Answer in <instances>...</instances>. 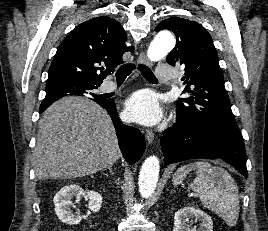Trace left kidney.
<instances>
[{"instance_id":"5707ae66","label":"left kidney","mask_w":268,"mask_h":231,"mask_svg":"<svg viewBox=\"0 0 268 231\" xmlns=\"http://www.w3.org/2000/svg\"><path fill=\"white\" fill-rule=\"evenodd\" d=\"M193 220L201 221L198 228L189 225ZM173 231H213V221L208 214L188 206L175 213Z\"/></svg>"}]
</instances>
